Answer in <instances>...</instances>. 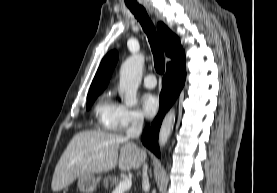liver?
<instances>
[{"label":"liver","mask_w":277,"mask_h":193,"mask_svg":"<svg viewBox=\"0 0 277 193\" xmlns=\"http://www.w3.org/2000/svg\"><path fill=\"white\" fill-rule=\"evenodd\" d=\"M145 159L146 152L123 135L79 132L58 161L51 187L54 192L61 191L76 178L112 170L117 163L121 170L138 169Z\"/></svg>","instance_id":"6515ba94"}]
</instances>
